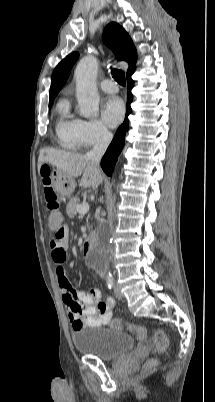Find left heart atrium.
<instances>
[{
    "instance_id": "1",
    "label": "left heart atrium",
    "mask_w": 215,
    "mask_h": 402,
    "mask_svg": "<svg viewBox=\"0 0 215 402\" xmlns=\"http://www.w3.org/2000/svg\"><path fill=\"white\" fill-rule=\"evenodd\" d=\"M125 108L118 97L109 98L102 107V119L109 127H116L122 121Z\"/></svg>"
}]
</instances>
